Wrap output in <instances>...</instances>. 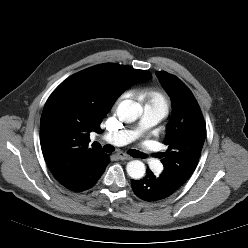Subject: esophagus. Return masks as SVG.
<instances>
[{"instance_id": "34e87169", "label": "esophagus", "mask_w": 248, "mask_h": 248, "mask_svg": "<svg viewBox=\"0 0 248 248\" xmlns=\"http://www.w3.org/2000/svg\"><path fill=\"white\" fill-rule=\"evenodd\" d=\"M117 156L120 160H131L132 158L125 154L124 152L117 153Z\"/></svg>"}]
</instances>
